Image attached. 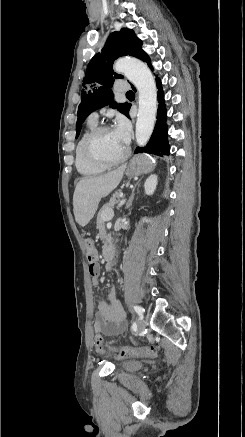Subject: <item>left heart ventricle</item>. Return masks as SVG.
Returning a JSON list of instances; mask_svg holds the SVG:
<instances>
[{"label":"left heart ventricle","instance_id":"b2bd125f","mask_svg":"<svg viewBox=\"0 0 245 437\" xmlns=\"http://www.w3.org/2000/svg\"><path fill=\"white\" fill-rule=\"evenodd\" d=\"M126 147L117 137L114 130L104 132L96 142V151L106 159H117L121 157Z\"/></svg>","mask_w":245,"mask_h":437}]
</instances>
